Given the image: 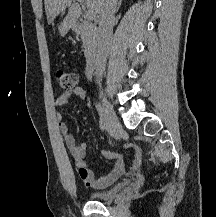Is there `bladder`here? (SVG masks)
<instances>
[{
    "label": "bladder",
    "instance_id": "bladder-1",
    "mask_svg": "<svg viewBox=\"0 0 216 217\" xmlns=\"http://www.w3.org/2000/svg\"><path fill=\"white\" fill-rule=\"evenodd\" d=\"M124 188L122 183L113 186L105 191H93L89 193V198L92 201H108L113 199Z\"/></svg>",
    "mask_w": 216,
    "mask_h": 217
}]
</instances>
